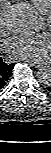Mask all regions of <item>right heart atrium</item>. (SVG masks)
I'll return each instance as SVG.
<instances>
[{"instance_id": "obj_1", "label": "right heart atrium", "mask_w": 51, "mask_h": 153, "mask_svg": "<svg viewBox=\"0 0 51 153\" xmlns=\"http://www.w3.org/2000/svg\"><path fill=\"white\" fill-rule=\"evenodd\" d=\"M6 14H7V8L3 7L0 13V28L4 29L6 26Z\"/></svg>"}]
</instances>
